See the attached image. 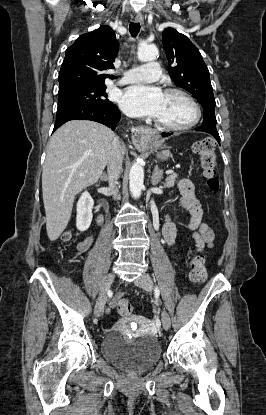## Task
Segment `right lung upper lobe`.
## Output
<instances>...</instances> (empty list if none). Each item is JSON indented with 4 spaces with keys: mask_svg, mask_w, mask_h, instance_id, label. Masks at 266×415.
<instances>
[{
    "mask_svg": "<svg viewBox=\"0 0 266 415\" xmlns=\"http://www.w3.org/2000/svg\"><path fill=\"white\" fill-rule=\"evenodd\" d=\"M117 52L118 42L109 26L79 36L66 50L59 73V93L105 85V79L113 75L103 72L114 68Z\"/></svg>",
    "mask_w": 266,
    "mask_h": 415,
    "instance_id": "obj_1",
    "label": "right lung upper lobe"
}]
</instances>
